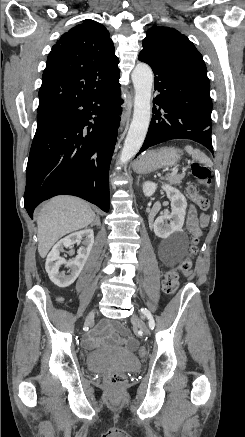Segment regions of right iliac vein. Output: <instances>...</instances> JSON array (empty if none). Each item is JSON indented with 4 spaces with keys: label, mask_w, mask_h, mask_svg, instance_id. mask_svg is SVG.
<instances>
[{
    "label": "right iliac vein",
    "mask_w": 245,
    "mask_h": 437,
    "mask_svg": "<svg viewBox=\"0 0 245 437\" xmlns=\"http://www.w3.org/2000/svg\"><path fill=\"white\" fill-rule=\"evenodd\" d=\"M94 315H95V310H93L89 313V315L86 318V323H88V324L91 323L94 319Z\"/></svg>",
    "instance_id": "63e3f726"
}]
</instances>
